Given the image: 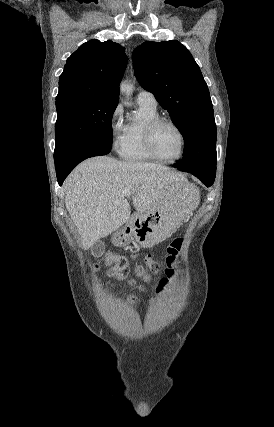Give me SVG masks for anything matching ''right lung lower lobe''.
<instances>
[{
	"instance_id": "obj_1",
	"label": "right lung lower lobe",
	"mask_w": 274,
	"mask_h": 427,
	"mask_svg": "<svg viewBox=\"0 0 274 427\" xmlns=\"http://www.w3.org/2000/svg\"><path fill=\"white\" fill-rule=\"evenodd\" d=\"M111 150V146H102V147H96L91 150H89L87 153L79 156L66 166L56 168V176L59 185L61 186L67 175L72 171V169L79 164L81 161L85 160L88 157H94V156H100L108 154Z\"/></svg>"
}]
</instances>
